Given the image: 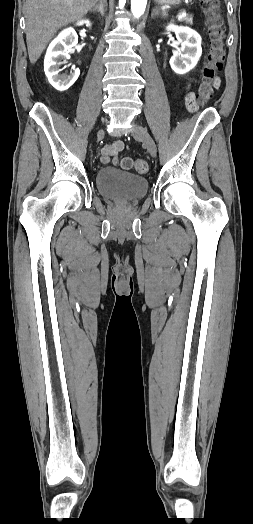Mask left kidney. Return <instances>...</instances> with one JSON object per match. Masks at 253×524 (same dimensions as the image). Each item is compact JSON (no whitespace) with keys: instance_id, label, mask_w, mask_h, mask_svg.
<instances>
[{"instance_id":"left-kidney-1","label":"left kidney","mask_w":253,"mask_h":524,"mask_svg":"<svg viewBox=\"0 0 253 524\" xmlns=\"http://www.w3.org/2000/svg\"><path fill=\"white\" fill-rule=\"evenodd\" d=\"M166 30L175 32L181 44L180 50L170 59V66L177 74H185L192 70L202 55L201 36L189 27L169 24Z\"/></svg>"}]
</instances>
